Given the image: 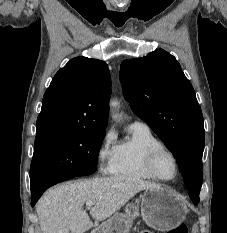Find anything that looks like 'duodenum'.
I'll return each instance as SVG.
<instances>
[{"label": "duodenum", "instance_id": "1", "mask_svg": "<svg viewBox=\"0 0 227 233\" xmlns=\"http://www.w3.org/2000/svg\"><path fill=\"white\" fill-rule=\"evenodd\" d=\"M91 233H100V232H97V231H93V232H91Z\"/></svg>", "mask_w": 227, "mask_h": 233}]
</instances>
